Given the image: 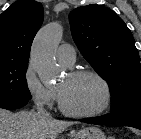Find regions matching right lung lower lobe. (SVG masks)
Segmentation results:
<instances>
[{"label":"right lung lower lobe","instance_id":"obj_1","mask_svg":"<svg viewBox=\"0 0 141 139\" xmlns=\"http://www.w3.org/2000/svg\"><path fill=\"white\" fill-rule=\"evenodd\" d=\"M28 100H10V101H0V108L4 109H17L25 106Z\"/></svg>","mask_w":141,"mask_h":139}]
</instances>
